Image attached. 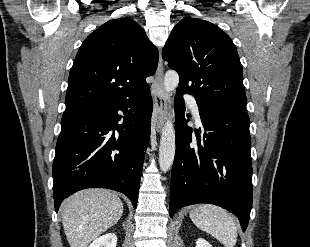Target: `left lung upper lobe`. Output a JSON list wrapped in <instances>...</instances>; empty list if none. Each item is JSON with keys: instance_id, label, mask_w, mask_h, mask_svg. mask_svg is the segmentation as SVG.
<instances>
[{"instance_id": "5c2ea615", "label": "left lung upper lobe", "mask_w": 310, "mask_h": 247, "mask_svg": "<svg viewBox=\"0 0 310 247\" xmlns=\"http://www.w3.org/2000/svg\"><path fill=\"white\" fill-rule=\"evenodd\" d=\"M162 58L179 74L177 91L193 93L197 104L246 112L237 49L216 25L202 19L183 18L173 28Z\"/></svg>"}]
</instances>
